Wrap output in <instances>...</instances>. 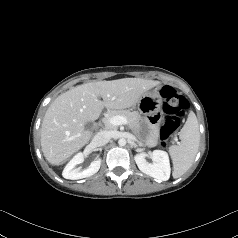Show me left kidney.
I'll return each mask as SVG.
<instances>
[{
  "instance_id": "left-kidney-1",
  "label": "left kidney",
  "mask_w": 238,
  "mask_h": 238,
  "mask_svg": "<svg viewBox=\"0 0 238 238\" xmlns=\"http://www.w3.org/2000/svg\"><path fill=\"white\" fill-rule=\"evenodd\" d=\"M146 153H140L135 156V162L138 168L145 174L160 180L167 181L170 178V162L167 152L154 150L151 154L153 163L147 162Z\"/></svg>"
}]
</instances>
